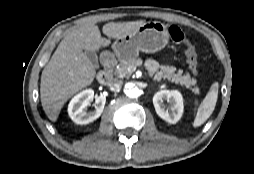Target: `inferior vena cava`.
<instances>
[{
  "label": "inferior vena cava",
  "mask_w": 254,
  "mask_h": 174,
  "mask_svg": "<svg viewBox=\"0 0 254 174\" xmlns=\"http://www.w3.org/2000/svg\"><path fill=\"white\" fill-rule=\"evenodd\" d=\"M122 81L121 80H113L110 82V86L113 87L114 89H119L122 86Z\"/></svg>",
  "instance_id": "obj_1"
}]
</instances>
